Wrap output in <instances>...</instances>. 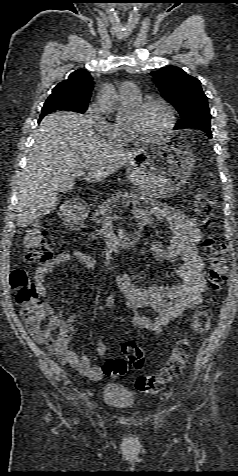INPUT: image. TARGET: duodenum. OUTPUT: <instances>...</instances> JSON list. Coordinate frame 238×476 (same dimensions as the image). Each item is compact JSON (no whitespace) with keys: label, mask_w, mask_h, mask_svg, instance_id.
Here are the masks:
<instances>
[{"label":"duodenum","mask_w":238,"mask_h":476,"mask_svg":"<svg viewBox=\"0 0 238 476\" xmlns=\"http://www.w3.org/2000/svg\"><path fill=\"white\" fill-rule=\"evenodd\" d=\"M87 213L85 212H73L67 215L69 221L77 223L85 219Z\"/></svg>","instance_id":"410a0bca"}]
</instances>
